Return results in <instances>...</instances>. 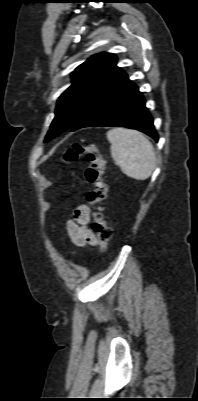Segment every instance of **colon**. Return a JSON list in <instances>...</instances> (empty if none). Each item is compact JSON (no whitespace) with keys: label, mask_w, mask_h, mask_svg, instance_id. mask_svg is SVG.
Returning a JSON list of instances; mask_svg holds the SVG:
<instances>
[{"label":"colon","mask_w":198,"mask_h":401,"mask_svg":"<svg viewBox=\"0 0 198 401\" xmlns=\"http://www.w3.org/2000/svg\"><path fill=\"white\" fill-rule=\"evenodd\" d=\"M80 158L88 162L85 178L92 186V190L87 194L86 201L92 208V229L96 234L99 250L104 252L112 237L111 226L103 213L104 201L108 194V185L104 178V161L99 148L94 145L74 143L64 154L66 162H74Z\"/></svg>","instance_id":"obj_1"}]
</instances>
